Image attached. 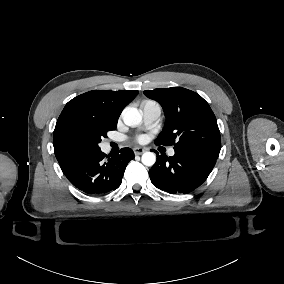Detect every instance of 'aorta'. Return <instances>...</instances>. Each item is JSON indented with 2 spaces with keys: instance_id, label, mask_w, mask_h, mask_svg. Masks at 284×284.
<instances>
[{
  "instance_id": "obj_1",
  "label": "aorta",
  "mask_w": 284,
  "mask_h": 284,
  "mask_svg": "<svg viewBox=\"0 0 284 284\" xmlns=\"http://www.w3.org/2000/svg\"><path fill=\"white\" fill-rule=\"evenodd\" d=\"M123 121L127 126H136L141 120L142 116L136 108H126L123 113ZM142 163L145 166H153L156 162V156L153 152H145L141 157Z\"/></svg>"
}]
</instances>
